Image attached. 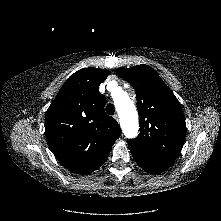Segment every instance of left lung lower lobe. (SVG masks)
<instances>
[{
  "instance_id": "1",
  "label": "left lung lower lobe",
  "mask_w": 221,
  "mask_h": 221,
  "mask_svg": "<svg viewBox=\"0 0 221 221\" xmlns=\"http://www.w3.org/2000/svg\"><path fill=\"white\" fill-rule=\"evenodd\" d=\"M136 163L145 171L152 174H159L168 169L174 160L163 159L157 156L148 154L134 145L128 144Z\"/></svg>"
}]
</instances>
